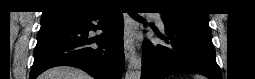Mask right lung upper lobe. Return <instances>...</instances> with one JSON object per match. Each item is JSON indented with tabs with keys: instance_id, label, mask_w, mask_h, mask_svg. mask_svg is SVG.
<instances>
[{
	"instance_id": "right-lung-upper-lobe-1",
	"label": "right lung upper lobe",
	"mask_w": 255,
	"mask_h": 79,
	"mask_svg": "<svg viewBox=\"0 0 255 79\" xmlns=\"http://www.w3.org/2000/svg\"><path fill=\"white\" fill-rule=\"evenodd\" d=\"M100 7L82 0H50L42 18L67 13L75 16L89 14L99 10Z\"/></svg>"
}]
</instances>
